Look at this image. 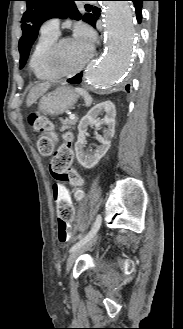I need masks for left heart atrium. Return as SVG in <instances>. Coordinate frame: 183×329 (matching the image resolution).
Returning a JSON list of instances; mask_svg holds the SVG:
<instances>
[{"label":"left heart atrium","instance_id":"1","mask_svg":"<svg viewBox=\"0 0 183 329\" xmlns=\"http://www.w3.org/2000/svg\"><path fill=\"white\" fill-rule=\"evenodd\" d=\"M73 40L84 49L90 51L95 41V34L87 25L78 23L74 28Z\"/></svg>","mask_w":183,"mask_h":329}]
</instances>
